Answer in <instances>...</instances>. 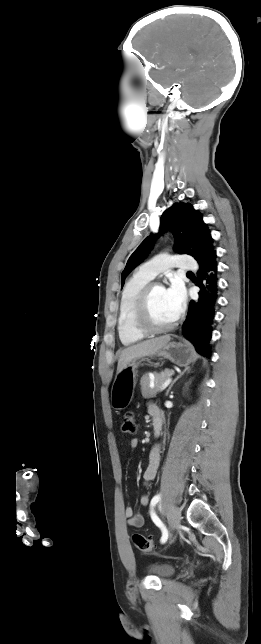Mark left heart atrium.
<instances>
[{
	"mask_svg": "<svg viewBox=\"0 0 261 644\" xmlns=\"http://www.w3.org/2000/svg\"><path fill=\"white\" fill-rule=\"evenodd\" d=\"M165 293L175 316L178 317L185 308V293L183 287L179 283H173L165 289Z\"/></svg>",
	"mask_w": 261,
	"mask_h": 644,
	"instance_id": "obj_1",
	"label": "left heart atrium"
}]
</instances>
